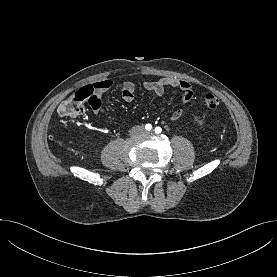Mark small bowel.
I'll list each match as a JSON object with an SVG mask.
<instances>
[{
    "mask_svg": "<svg viewBox=\"0 0 277 277\" xmlns=\"http://www.w3.org/2000/svg\"><path fill=\"white\" fill-rule=\"evenodd\" d=\"M114 86L115 81L112 79H103L82 88L89 90L94 97L93 101L90 103V106L96 115H99L103 110L101 96ZM142 86L144 89L153 92L158 97H162L167 88H176L181 92V101L183 103L190 101L194 94V88L191 83L177 78L166 77L156 81H144ZM135 91L136 88L134 83L130 81L124 82L121 90L123 100L126 102L133 101L135 97ZM182 115L183 109L177 108L171 113L170 119L177 120Z\"/></svg>",
    "mask_w": 277,
    "mask_h": 277,
    "instance_id": "c3829d8e",
    "label": "small bowel"
}]
</instances>
